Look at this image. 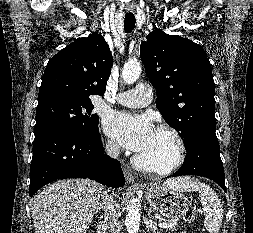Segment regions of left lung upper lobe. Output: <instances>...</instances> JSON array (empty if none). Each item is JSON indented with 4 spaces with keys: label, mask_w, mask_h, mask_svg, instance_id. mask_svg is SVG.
Listing matches in <instances>:
<instances>
[{
    "label": "left lung upper lobe",
    "mask_w": 253,
    "mask_h": 233,
    "mask_svg": "<svg viewBox=\"0 0 253 233\" xmlns=\"http://www.w3.org/2000/svg\"><path fill=\"white\" fill-rule=\"evenodd\" d=\"M140 56L156 89V106L184 145L199 132L215 134V84L202 47L156 29L141 43Z\"/></svg>",
    "instance_id": "obj_1"
}]
</instances>
